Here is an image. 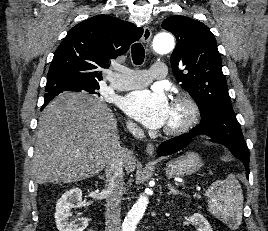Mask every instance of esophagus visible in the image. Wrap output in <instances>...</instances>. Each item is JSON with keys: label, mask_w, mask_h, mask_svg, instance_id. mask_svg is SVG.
Listing matches in <instances>:
<instances>
[{"label": "esophagus", "mask_w": 268, "mask_h": 231, "mask_svg": "<svg viewBox=\"0 0 268 231\" xmlns=\"http://www.w3.org/2000/svg\"><path fill=\"white\" fill-rule=\"evenodd\" d=\"M151 37H152V33L151 30L149 29V27L145 26L144 30H143V35H142V41L144 43H146L147 45L150 44L151 41ZM145 153L148 156H153L155 153V148L153 146L152 143H148L145 147Z\"/></svg>", "instance_id": "obj_1"}]
</instances>
